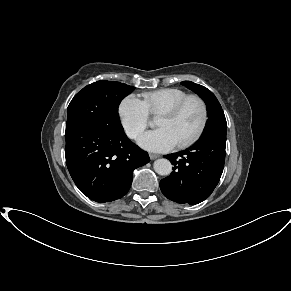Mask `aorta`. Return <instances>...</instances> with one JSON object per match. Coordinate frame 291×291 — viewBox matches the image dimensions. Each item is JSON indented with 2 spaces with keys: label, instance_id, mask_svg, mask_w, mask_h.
I'll return each mask as SVG.
<instances>
[{
  "label": "aorta",
  "instance_id": "obj_1",
  "mask_svg": "<svg viewBox=\"0 0 291 291\" xmlns=\"http://www.w3.org/2000/svg\"><path fill=\"white\" fill-rule=\"evenodd\" d=\"M156 173L162 176H168L172 172V164L167 159H157L153 164Z\"/></svg>",
  "mask_w": 291,
  "mask_h": 291
}]
</instances>
